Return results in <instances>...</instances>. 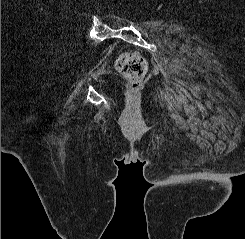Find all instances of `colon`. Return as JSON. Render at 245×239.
Instances as JSON below:
<instances>
[{
    "mask_svg": "<svg viewBox=\"0 0 245 239\" xmlns=\"http://www.w3.org/2000/svg\"><path fill=\"white\" fill-rule=\"evenodd\" d=\"M116 69L128 80L133 89L138 88L146 74L147 63L138 51L121 54L116 60Z\"/></svg>",
    "mask_w": 245,
    "mask_h": 239,
    "instance_id": "5ec220e1",
    "label": "colon"
}]
</instances>
